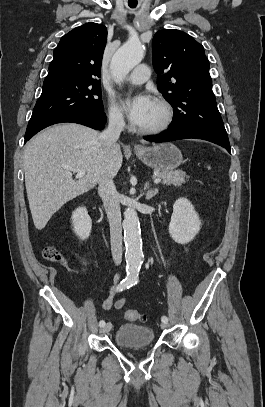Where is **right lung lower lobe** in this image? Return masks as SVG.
Returning <instances> with one entry per match:
<instances>
[{
	"label": "right lung lower lobe",
	"instance_id": "obj_1",
	"mask_svg": "<svg viewBox=\"0 0 265 407\" xmlns=\"http://www.w3.org/2000/svg\"><path fill=\"white\" fill-rule=\"evenodd\" d=\"M63 122L79 123L96 130H101L106 123V115L103 111L96 110H82L73 113H67L59 117L53 118L33 128L27 129L25 133V141L27 142L32 136H34L40 130Z\"/></svg>",
	"mask_w": 265,
	"mask_h": 407
}]
</instances>
